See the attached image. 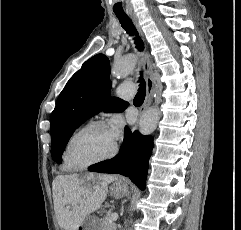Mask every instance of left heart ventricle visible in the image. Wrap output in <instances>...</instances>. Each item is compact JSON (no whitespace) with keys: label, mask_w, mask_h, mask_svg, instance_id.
<instances>
[{"label":"left heart ventricle","mask_w":241,"mask_h":230,"mask_svg":"<svg viewBox=\"0 0 241 230\" xmlns=\"http://www.w3.org/2000/svg\"><path fill=\"white\" fill-rule=\"evenodd\" d=\"M115 141L107 127H93L81 133L74 141L70 157L75 164L86 163L108 155Z\"/></svg>","instance_id":"1"}]
</instances>
